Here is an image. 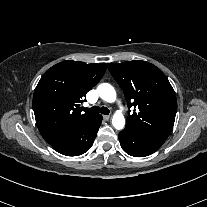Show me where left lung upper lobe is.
<instances>
[{
    "label": "left lung upper lobe",
    "instance_id": "5c2ea615",
    "mask_svg": "<svg viewBox=\"0 0 207 207\" xmlns=\"http://www.w3.org/2000/svg\"><path fill=\"white\" fill-rule=\"evenodd\" d=\"M123 89L128 107L134 108L126 127L167 139L175 121L177 100L164 73L151 63L134 60L108 63Z\"/></svg>",
    "mask_w": 207,
    "mask_h": 207
}]
</instances>
